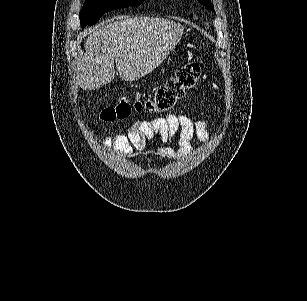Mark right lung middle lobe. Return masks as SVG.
I'll list each match as a JSON object with an SVG mask.
<instances>
[{
	"mask_svg": "<svg viewBox=\"0 0 307 301\" xmlns=\"http://www.w3.org/2000/svg\"><path fill=\"white\" fill-rule=\"evenodd\" d=\"M144 0H85L79 13L81 27L94 25L108 11L139 5Z\"/></svg>",
	"mask_w": 307,
	"mask_h": 301,
	"instance_id": "dd1d6c3e",
	"label": "right lung middle lobe"
}]
</instances>
